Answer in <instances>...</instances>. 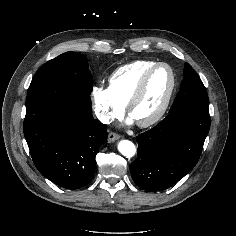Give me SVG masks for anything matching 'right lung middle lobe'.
<instances>
[{"label":"right lung middle lobe","instance_id":"1","mask_svg":"<svg viewBox=\"0 0 236 236\" xmlns=\"http://www.w3.org/2000/svg\"><path fill=\"white\" fill-rule=\"evenodd\" d=\"M92 81L86 58L76 52H66L40 67L27 94L51 90L90 96Z\"/></svg>","mask_w":236,"mask_h":236}]
</instances>
